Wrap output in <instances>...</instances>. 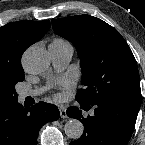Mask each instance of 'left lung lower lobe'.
Returning a JSON list of instances; mask_svg holds the SVG:
<instances>
[{
	"label": "left lung lower lobe",
	"mask_w": 145,
	"mask_h": 145,
	"mask_svg": "<svg viewBox=\"0 0 145 145\" xmlns=\"http://www.w3.org/2000/svg\"><path fill=\"white\" fill-rule=\"evenodd\" d=\"M81 108L95 107L93 116H82L78 107H70L67 115L83 122V135L70 145H127L141 104L139 97H119L95 104L77 100Z\"/></svg>",
	"instance_id": "1"
}]
</instances>
